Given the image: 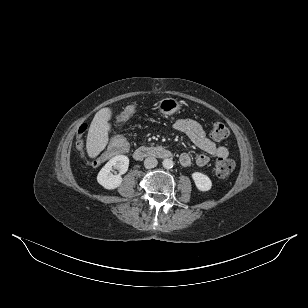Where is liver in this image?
Returning a JSON list of instances; mask_svg holds the SVG:
<instances>
[{
	"mask_svg": "<svg viewBox=\"0 0 308 308\" xmlns=\"http://www.w3.org/2000/svg\"><path fill=\"white\" fill-rule=\"evenodd\" d=\"M111 117L112 110L108 107L102 108L95 114L86 140V150L90 158H95L106 147L111 129L109 123Z\"/></svg>",
	"mask_w": 308,
	"mask_h": 308,
	"instance_id": "1",
	"label": "liver"
}]
</instances>
